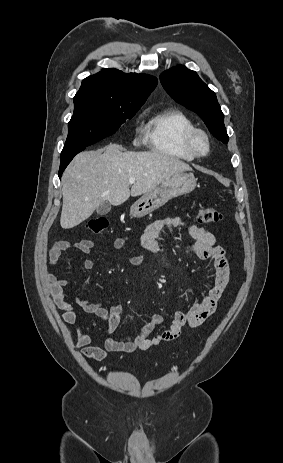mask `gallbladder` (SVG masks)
Returning <instances> with one entry per match:
<instances>
[{"mask_svg": "<svg viewBox=\"0 0 283 463\" xmlns=\"http://www.w3.org/2000/svg\"><path fill=\"white\" fill-rule=\"evenodd\" d=\"M111 210V204L108 201L103 202L101 205H99L96 208V212L99 215H106L110 212Z\"/></svg>", "mask_w": 283, "mask_h": 463, "instance_id": "1", "label": "gallbladder"}]
</instances>
